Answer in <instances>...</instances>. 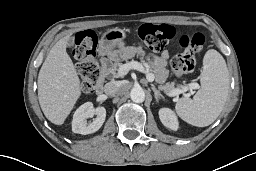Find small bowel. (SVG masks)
I'll return each mask as SVG.
<instances>
[{
	"mask_svg": "<svg viewBox=\"0 0 256 171\" xmlns=\"http://www.w3.org/2000/svg\"><path fill=\"white\" fill-rule=\"evenodd\" d=\"M129 50L134 54H140L143 52L141 47H129ZM169 58L168 52H163L159 55H156L152 59V67L156 73V78L159 82H163L168 75L166 70L167 61Z\"/></svg>",
	"mask_w": 256,
	"mask_h": 171,
	"instance_id": "small-bowel-1",
	"label": "small bowel"
}]
</instances>
